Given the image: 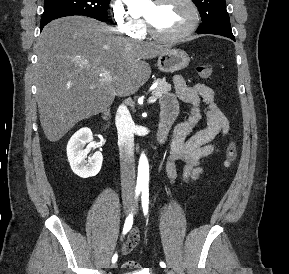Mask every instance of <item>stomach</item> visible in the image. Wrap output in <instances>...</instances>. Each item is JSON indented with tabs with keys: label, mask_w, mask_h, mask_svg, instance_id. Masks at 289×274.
Here are the masks:
<instances>
[{
	"label": "stomach",
	"mask_w": 289,
	"mask_h": 274,
	"mask_svg": "<svg viewBox=\"0 0 289 274\" xmlns=\"http://www.w3.org/2000/svg\"><path fill=\"white\" fill-rule=\"evenodd\" d=\"M190 58L180 49H168L158 56L157 66L162 72L173 73L188 66Z\"/></svg>",
	"instance_id": "1"
}]
</instances>
